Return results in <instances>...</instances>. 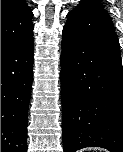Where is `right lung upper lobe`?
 <instances>
[{
  "instance_id": "right-lung-upper-lobe-1",
  "label": "right lung upper lobe",
  "mask_w": 123,
  "mask_h": 152,
  "mask_svg": "<svg viewBox=\"0 0 123 152\" xmlns=\"http://www.w3.org/2000/svg\"><path fill=\"white\" fill-rule=\"evenodd\" d=\"M33 13L24 0H1V44L33 32Z\"/></svg>"
}]
</instances>
